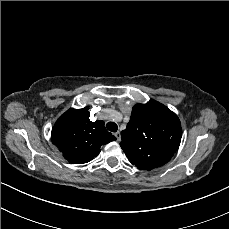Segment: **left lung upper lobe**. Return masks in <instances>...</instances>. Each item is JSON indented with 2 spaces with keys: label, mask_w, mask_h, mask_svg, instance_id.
Returning a JSON list of instances; mask_svg holds the SVG:
<instances>
[{
  "label": "left lung upper lobe",
  "mask_w": 229,
  "mask_h": 229,
  "mask_svg": "<svg viewBox=\"0 0 229 229\" xmlns=\"http://www.w3.org/2000/svg\"><path fill=\"white\" fill-rule=\"evenodd\" d=\"M182 136L179 118L158 101L136 104L120 146L128 160L142 170H152L170 161Z\"/></svg>",
  "instance_id": "1"
}]
</instances>
